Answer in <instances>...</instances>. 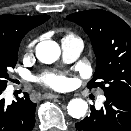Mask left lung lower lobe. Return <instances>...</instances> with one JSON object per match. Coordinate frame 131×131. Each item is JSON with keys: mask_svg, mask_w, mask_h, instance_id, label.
<instances>
[{"mask_svg": "<svg viewBox=\"0 0 131 131\" xmlns=\"http://www.w3.org/2000/svg\"><path fill=\"white\" fill-rule=\"evenodd\" d=\"M104 107L75 124L76 131H131V100L105 95Z\"/></svg>", "mask_w": 131, "mask_h": 131, "instance_id": "0a47b994", "label": "left lung lower lobe"}]
</instances>
